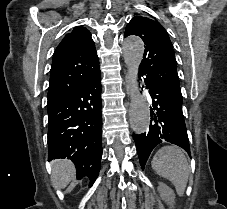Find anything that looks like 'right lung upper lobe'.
<instances>
[{
	"label": "right lung upper lobe",
	"mask_w": 227,
	"mask_h": 209,
	"mask_svg": "<svg viewBox=\"0 0 227 209\" xmlns=\"http://www.w3.org/2000/svg\"><path fill=\"white\" fill-rule=\"evenodd\" d=\"M84 66L93 72L99 60L90 32L76 26L57 46L50 71L48 103L53 104L81 86L87 74H76L74 69Z\"/></svg>",
	"instance_id": "1"
}]
</instances>
